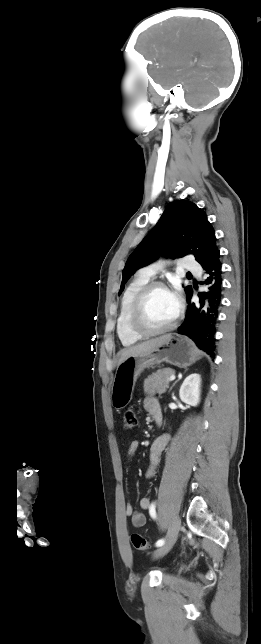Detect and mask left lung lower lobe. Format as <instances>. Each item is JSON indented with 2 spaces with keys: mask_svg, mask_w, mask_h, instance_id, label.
I'll return each mask as SVG.
<instances>
[{
  "mask_svg": "<svg viewBox=\"0 0 261 644\" xmlns=\"http://www.w3.org/2000/svg\"><path fill=\"white\" fill-rule=\"evenodd\" d=\"M219 251L216 252L202 267L206 279L202 284L207 285L206 292H199V303L190 302L191 292L187 296L188 308L183 324L178 328V333L191 338L197 347L211 357H215L216 323L221 304V263Z\"/></svg>",
  "mask_w": 261,
  "mask_h": 644,
  "instance_id": "obj_1",
  "label": "left lung lower lobe"
}]
</instances>
